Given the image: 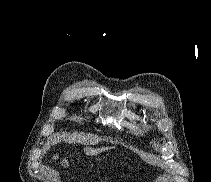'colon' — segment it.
I'll use <instances>...</instances> for the list:
<instances>
[{
  "label": "colon",
  "instance_id": "colon-1",
  "mask_svg": "<svg viewBox=\"0 0 211 182\" xmlns=\"http://www.w3.org/2000/svg\"><path fill=\"white\" fill-rule=\"evenodd\" d=\"M60 160H61V162H62L63 165H67L66 160H64V159H60Z\"/></svg>",
  "mask_w": 211,
  "mask_h": 182
}]
</instances>
